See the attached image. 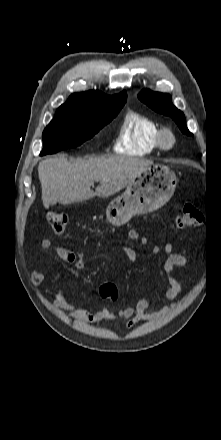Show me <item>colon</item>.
<instances>
[{
  "mask_svg": "<svg viewBox=\"0 0 221 440\" xmlns=\"http://www.w3.org/2000/svg\"><path fill=\"white\" fill-rule=\"evenodd\" d=\"M48 222L50 223L55 233L61 234L66 231L69 224V215L65 212L51 211L47 215ZM203 223L202 212L191 204H185L181 207L180 213L176 219L175 226L178 229L182 228H195L199 227ZM100 294L103 297L115 298L118 294L117 287L114 284L106 283L101 286Z\"/></svg>",
  "mask_w": 221,
  "mask_h": 440,
  "instance_id": "1",
  "label": "colon"
}]
</instances>
